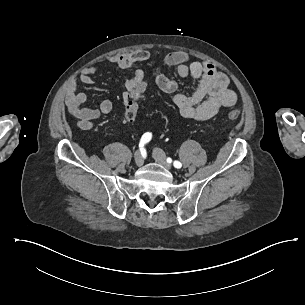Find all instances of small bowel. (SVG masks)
<instances>
[{
  "label": "small bowel",
  "mask_w": 305,
  "mask_h": 305,
  "mask_svg": "<svg viewBox=\"0 0 305 305\" xmlns=\"http://www.w3.org/2000/svg\"><path fill=\"white\" fill-rule=\"evenodd\" d=\"M148 50H137L131 53L115 54L104 59L105 62L115 64L121 69H134L132 78L124 83L125 91L122 101L126 108V102L134 87L145 83V74L137 63L149 59ZM189 55L183 51H175L167 54L164 64L175 66L179 77L191 76L196 81V87L192 94L185 95L175 93L178 83L172 78L154 72L156 85L165 93L173 94L172 101L182 117L196 121H206L214 117L221 108L231 107L237 101V95L229 87L228 77L217 71L206 61H194L187 64ZM98 72V67L89 66L80 75L79 81L91 86L94 84L93 76ZM87 100L84 92L77 90V81H72L66 94V106L69 114L77 119V125L81 130L89 131L93 128V121L109 114L113 109V103L109 99L100 102L97 108H84L82 104Z\"/></svg>",
  "instance_id": "small-bowel-1"
}]
</instances>
